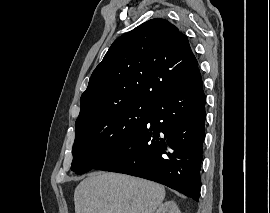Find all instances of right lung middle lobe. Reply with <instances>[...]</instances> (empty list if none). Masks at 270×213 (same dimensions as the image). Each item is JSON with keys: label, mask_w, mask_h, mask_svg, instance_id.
Masks as SVG:
<instances>
[{"label": "right lung middle lobe", "mask_w": 270, "mask_h": 213, "mask_svg": "<svg viewBox=\"0 0 270 213\" xmlns=\"http://www.w3.org/2000/svg\"><path fill=\"white\" fill-rule=\"evenodd\" d=\"M153 106L152 103L133 102L76 123L71 170L83 174L108 159L140 129Z\"/></svg>", "instance_id": "right-lung-middle-lobe-1"}]
</instances>
